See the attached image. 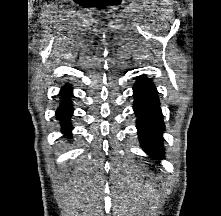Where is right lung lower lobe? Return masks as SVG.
Returning a JSON list of instances; mask_svg holds the SVG:
<instances>
[{"label": "right lung lower lobe", "instance_id": "right-lung-lower-lobe-1", "mask_svg": "<svg viewBox=\"0 0 221 216\" xmlns=\"http://www.w3.org/2000/svg\"><path fill=\"white\" fill-rule=\"evenodd\" d=\"M72 89L65 86L60 91L61 104L56 111V117L61 122V128L64 134L69 135L71 131L70 118L73 113L71 105Z\"/></svg>", "mask_w": 221, "mask_h": 216}]
</instances>
